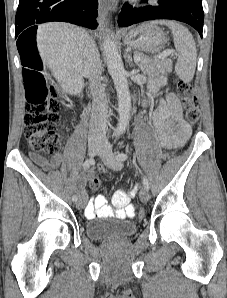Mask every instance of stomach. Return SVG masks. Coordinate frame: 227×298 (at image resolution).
<instances>
[{
	"label": "stomach",
	"instance_id": "obj_1",
	"mask_svg": "<svg viewBox=\"0 0 227 298\" xmlns=\"http://www.w3.org/2000/svg\"><path fill=\"white\" fill-rule=\"evenodd\" d=\"M123 42L138 51L154 54L165 47L167 36L155 23H143L126 31Z\"/></svg>",
	"mask_w": 227,
	"mask_h": 298
}]
</instances>
